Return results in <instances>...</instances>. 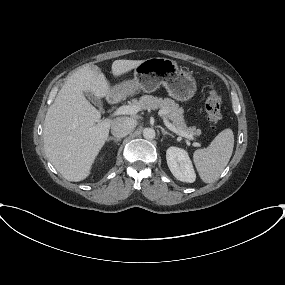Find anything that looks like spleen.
Wrapping results in <instances>:
<instances>
[{
  "label": "spleen",
  "instance_id": "spleen-1",
  "mask_svg": "<svg viewBox=\"0 0 285 285\" xmlns=\"http://www.w3.org/2000/svg\"><path fill=\"white\" fill-rule=\"evenodd\" d=\"M234 134L230 128L222 130L207 148L193 154L195 167L205 183H212L227 166L233 152Z\"/></svg>",
  "mask_w": 285,
  "mask_h": 285
}]
</instances>
